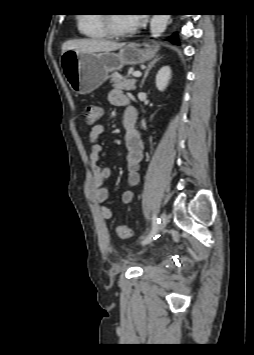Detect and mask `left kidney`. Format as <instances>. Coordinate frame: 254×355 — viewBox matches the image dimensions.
Masks as SVG:
<instances>
[{
	"label": "left kidney",
	"instance_id": "5707ae66",
	"mask_svg": "<svg viewBox=\"0 0 254 355\" xmlns=\"http://www.w3.org/2000/svg\"><path fill=\"white\" fill-rule=\"evenodd\" d=\"M171 79V69L169 66L162 67L156 75V87L159 91H164Z\"/></svg>",
	"mask_w": 254,
	"mask_h": 355
}]
</instances>
